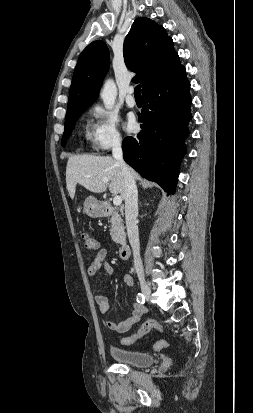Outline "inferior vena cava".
<instances>
[{"label":"inferior vena cava","instance_id":"1","mask_svg":"<svg viewBox=\"0 0 253 413\" xmlns=\"http://www.w3.org/2000/svg\"><path fill=\"white\" fill-rule=\"evenodd\" d=\"M112 154L121 167L125 182V220L127 234L134 256L136 273L143 276V265L140 257V243L136 218L138 216V192L131 168L123 160L120 139L114 140Z\"/></svg>","mask_w":253,"mask_h":413}]
</instances>
